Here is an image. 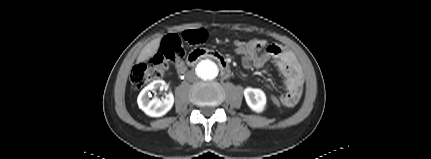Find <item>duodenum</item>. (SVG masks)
<instances>
[{
    "label": "duodenum",
    "instance_id": "duodenum-1",
    "mask_svg": "<svg viewBox=\"0 0 431 159\" xmlns=\"http://www.w3.org/2000/svg\"><path fill=\"white\" fill-rule=\"evenodd\" d=\"M203 59H210L215 61L222 73L224 75H229L230 74V66L229 63L226 61V59L218 52L213 51V50H207V49H196L194 51H192L187 58V64L189 66H193L195 65L197 62H199L200 60ZM186 71V67L184 69V71H178L179 73H184Z\"/></svg>",
    "mask_w": 431,
    "mask_h": 159
}]
</instances>
